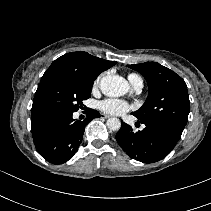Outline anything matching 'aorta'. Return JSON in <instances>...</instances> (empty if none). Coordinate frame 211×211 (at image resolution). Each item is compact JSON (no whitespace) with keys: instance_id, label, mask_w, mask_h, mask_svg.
<instances>
[{"instance_id":"1","label":"aorta","mask_w":211,"mask_h":211,"mask_svg":"<svg viewBox=\"0 0 211 211\" xmlns=\"http://www.w3.org/2000/svg\"><path fill=\"white\" fill-rule=\"evenodd\" d=\"M128 82L118 75H106L100 81V90L109 97H119L128 91ZM107 126L110 130L117 131L121 127V122L117 118L107 120Z\"/></svg>"}]
</instances>
